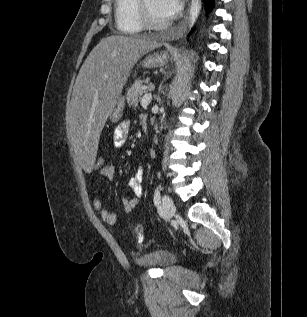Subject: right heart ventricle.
<instances>
[{
    "label": "right heart ventricle",
    "instance_id": "1",
    "mask_svg": "<svg viewBox=\"0 0 307 317\" xmlns=\"http://www.w3.org/2000/svg\"><path fill=\"white\" fill-rule=\"evenodd\" d=\"M114 13L116 27L119 32L123 34H135L143 29L137 0H115Z\"/></svg>",
    "mask_w": 307,
    "mask_h": 317
}]
</instances>
